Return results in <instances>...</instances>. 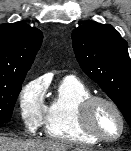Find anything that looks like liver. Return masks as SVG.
<instances>
[{
	"label": "liver",
	"mask_w": 131,
	"mask_h": 151,
	"mask_svg": "<svg viewBox=\"0 0 131 151\" xmlns=\"http://www.w3.org/2000/svg\"><path fill=\"white\" fill-rule=\"evenodd\" d=\"M71 146L65 143L48 141H21L0 137V151H68ZM81 151V149H75Z\"/></svg>",
	"instance_id": "liver-1"
}]
</instances>
